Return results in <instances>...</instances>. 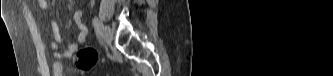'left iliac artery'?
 I'll return each mask as SVG.
<instances>
[{
	"mask_svg": "<svg viewBox=\"0 0 333 76\" xmlns=\"http://www.w3.org/2000/svg\"><path fill=\"white\" fill-rule=\"evenodd\" d=\"M92 22H93L94 27H95L97 30H99V29H100V26H101V23H100L99 19H98L97 17H94L93 20H92Z\"/></svg>",
	"mask_w": 333,
	"mask_h": 76,
	"instance_id": "obj_1",
	"label": "left iliac artery"
}]
</instances>
